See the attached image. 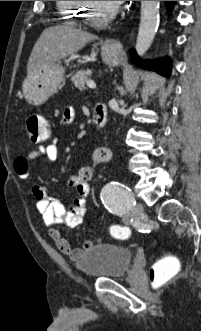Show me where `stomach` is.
<instances>
[{
  "instance_id": "0dacf381",
  "label": "stomach",
  "mask_w": 201,
  "mask_h": 331,
  "mask_svg": "<svg viewBox=\"0 0 201 331\" xmlns=\"http://www.w3.org/2000/svg\"><path fill=\"white\" fill-rule=\"evenodd\" d=\"M101 55L106 63L113 66H117L121 61L120 54L107 46L102 47ZM64 73L65 69L59 63H54L37 73L27 75L23 82L26 100L34 105L44 104L60 88Z\"/></svg>"
}]
</instances>
